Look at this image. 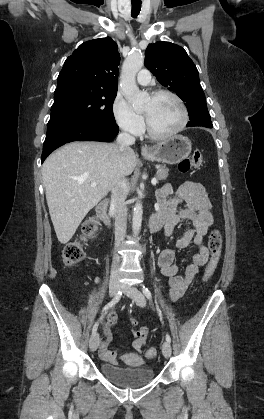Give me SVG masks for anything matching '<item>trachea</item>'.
I'll return each mask as SVG.
<instances>
[{
  "mask_svg": "<svg viewBox=\"0 0 264 419\" xmlns=\"http://www.w3.org/2000/svg\"><path fill=\"white\" fill-rule=\"evenodd\" d=\"M141 10V4H132L131 15L133 18H136Z\"/></svg>",
  "mask_w": 264,
  "mask_h": 419,
  "instance_id": "1",
  "label": "trachea"
}]
</instances>
